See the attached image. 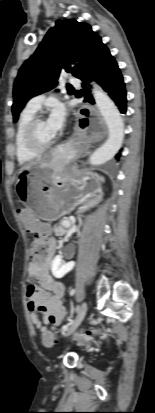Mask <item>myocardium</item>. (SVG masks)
<instances>
[{"instance_id":"obj_1","label":"myocardium","mask_w":155,"mask_h":413,"mask_svg":"<svg viewBox=\"0 0 155 413\" xmlns=\"http://www.w3.org/2000/svg\"><path fill=\"white\" fill-rule=\"evenodd\" d=\"M42 117H34L27 125L25 132H24V142L28 150L35 154H41L48 149H50L55 140H51L48 143H40L36 137V127L40 121H42Z\"/></svg>"}]
</instances>
